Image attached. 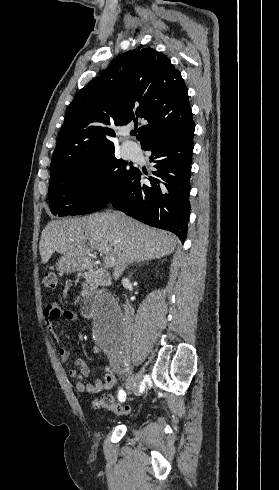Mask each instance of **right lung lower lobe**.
Here are the masks:
<instances>
[{"mask_svg": "<svg viewBox=\"0 0 279 490\" xmlns=\"http://www.w3.org/2000/svg\"><path fill=\"white\" fill-rule=\"evenodd\" d=\"M195 123L167 137L147 142L157 177H145L138 169L117 190L108 203L127 215L186 239L190 215V175Z\"/></svg>", "mask_w": 279, "mask_h": 490, "instance_id": "1", "label": "right lung lower lobe"}]
</instances>
